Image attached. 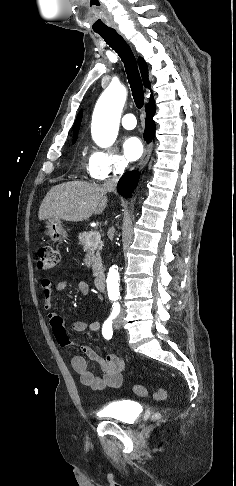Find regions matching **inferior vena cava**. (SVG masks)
Returning a JSON list of instances; mask_svg holds the SVG:
<instances>
[{
    "mask_svg": "<svg viewBox=\"0 0 236 486\" xmlns=\"http://www.w3.org/2000/svg\"><path fill=\"white\" fill-rule=\"evenodd\" d=\"M127 166V162L125 160H120L115 168L114 176L103 183V187L108 191H114L116 189L117 182L119 180V176L124 172L125 167ZM113 231L114 228H111Z\"/></svg>",
    "mask_w": 236,
    "mask_h": 486,
    "instance_id": "1",
    "label": "inferior vena cava"
}]
</instances>
